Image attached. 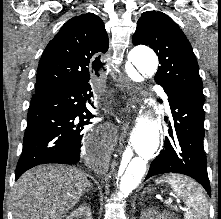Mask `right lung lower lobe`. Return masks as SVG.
<instances>
[{"mask_svg":"<svg viewBox=\"0 0 221 219\" xmlns=\"http://www.w3.org/2000/svg\"><path fill=\"white\" fill-rule=\"evenodd\" d=\"M93 91V86L86 82L32 96L15 180L40 164L79 162L84 126L89 123L83 120L93 118L86 107ZM97 151L94 145L93 154Z\"/></svg>","mask_w":221,"mask_h":219,"instance_id":"right-lung-lower-lobe-1","label":"right lung lower lobe"}]
</instances>
